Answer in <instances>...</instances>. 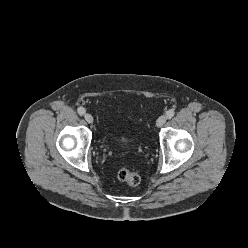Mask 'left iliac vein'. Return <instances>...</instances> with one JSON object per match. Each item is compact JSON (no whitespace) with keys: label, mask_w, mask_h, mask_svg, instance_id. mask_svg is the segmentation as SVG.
<instances>
[{"label":"left iliac vein","mask_w":248,"mask_h":248,"mask_svg":"<svg viewBox=\"0 0 248 248\" xmlns=\"http://www.w3.org/2000/svg\"><path fill=\"white\" fill-rule=\"evenodd\" d=\"M166 121H167V117L165 115H161L157 119L156 126L160 128L166 123Z\"/></svg>","instance_id":"1"}]
</instances>
